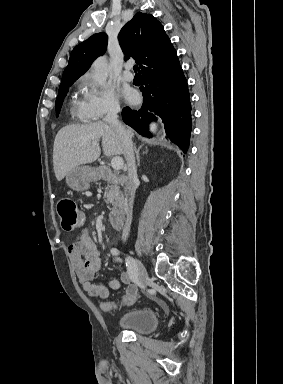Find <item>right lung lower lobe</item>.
<instances>
[{
    "instance_id": "right-lung-lower-lobe-1",
    "label": "right lung lower lobe",
    "mask_w": 283,
    "mask_h": 384,
    "mask_svg": "<svg viewBox=\"0 0 283 384\" xmlns=\"http://www.w3.org/2000/svg\"><path fill=\"white\" fill-rule=\"evenodd\" d=\"M144 97L140 109L125 107L123 121L139 134L151 137L150 123L163 124L167 138L186 153L191 133V103L186 78L179 62L171 68L141 78Z\"/></svg>"
}]
</instances>
